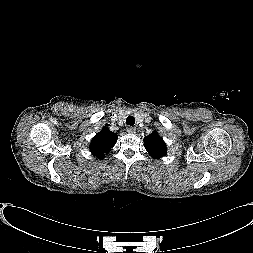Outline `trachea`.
<instances>
[{
	"label": "trachea",
	"mask_w": 253,
	"mask_h": 253,
	"mask_svg": "<svg viewBox=\"0 0 253 253\" xmlns=\"http://www.w3.org/2000/svg\"><path fill=\"white\" fill-rule=\"evenodd\" d=\"M126 124L133 126L135 124V118L133 116H128L126 119Z\"/></svg>",
	"instance_id": "trachea-1"
}]
</instances>
